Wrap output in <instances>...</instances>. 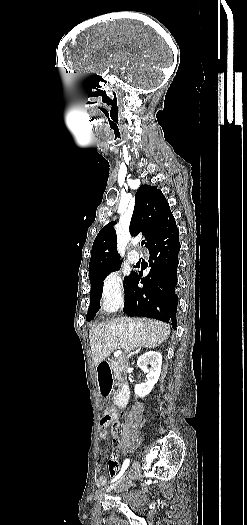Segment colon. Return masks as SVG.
I'll return each instance as SVG.
<instances>
[{
	"label": "colon",
	"mask_w": 247,
	"mask_h": 525,
	"mask_svg": "<svg viewBox=\"0 0 247 525\" xmlns=\"http://www.w3.org/2000/svg\"><path fill=\"white\" fill-rule=\"evenodd\" d=\"M100 424H101L102 427L108 428V427L111 426L112 421L109 418V416H107V417H104V418L101 419Z\"/></svg>",
	"instance_id": "1"
}]
</instances>
